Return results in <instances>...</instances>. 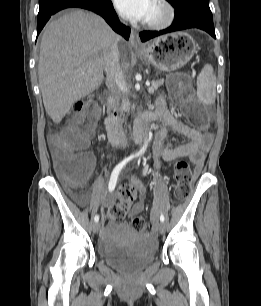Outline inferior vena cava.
Listing matches in <instances>:
<instances>
[{
	"instance_id": "602c4592",
	"label": "inferior vena cava",
	"mask_w": 261,
	"mask_h": 306,
	"mask_svg": "<svg viewBox=\"0 0 261 306\" xmlns=\"http://www.w3.org/2000/svg\"><path fill=\"white\" fill-rule=\"evenodd\" d=\"M103 67L106 74V85L108 89L114 93L116 100L122 99L124 97L126 81L121 69L117 45L108 53Z\"/></svg>"
}]
</instances>
